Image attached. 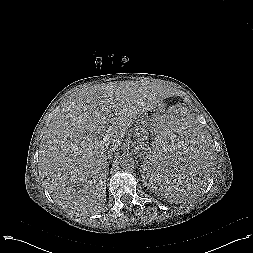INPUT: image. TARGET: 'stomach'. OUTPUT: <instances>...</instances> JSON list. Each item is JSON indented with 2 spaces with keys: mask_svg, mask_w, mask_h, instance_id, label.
I'll return each instance as SVG.
<instances>
[{
  "mask_svg": "<svg viewBox=\"0 0 253 253\" xmlns=\"http://www.w3.org/2000/svg\"><path fill=\"white\" fill-rule=\"evenodd\" d=\"M162 114V109L158 108L156 105H153L142 115L143 126L151 132L155 133V131L159 128L162 118L165 116Z\"/></svg>",
  "mask_w": 253,
  "mask_h": 253,
  "instance_id": "0dacf381",
  "label": "stomach"
}]
</instances>
